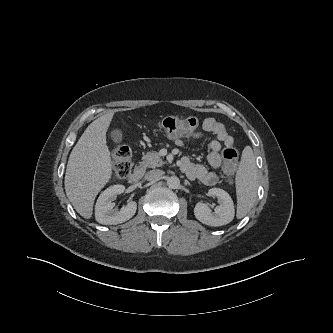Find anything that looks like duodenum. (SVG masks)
Masks as SVG:
<instances>
[{
    "mask_svg": "<svg viewBox=\"0 0 333 333\" xmlns=\"http://www.w3.org/2000/svg\"><path fill=\"white\" fill-rule=\"evenodd\" d=\"M144 173V167L143 166H138L134 172L129 176L128 182L130 184H137L140 179L142 178Z\"/></svg>",
    "mask_w": 333,
    "mask_h": 333,
    "instance_id": "410a0bca",
    "label": "duodenum"
}]
</instances>
